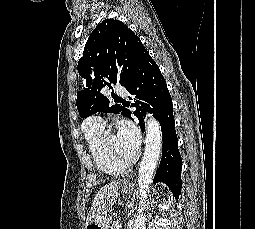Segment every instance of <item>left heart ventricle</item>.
<instances>
[{"instance_id": "left-heart-ventricle-1", "label": "left heart ventricle", "mask_w": 255, "mask_h": 229, "mask_svg": "<svg viewBox=\"0 0 255 229\" xmlns=\"http://www.w3.org/2000/svg\"><path fill=\"white\" fill-rule=\"evenodd\" d=\"M106 143L109 148V150L119 159L121 160H129L131 159L134 154H132L130 151L125 149L119 140L117 139V136L108 134L106 135Z\"/></svg>"}]
</instances>
